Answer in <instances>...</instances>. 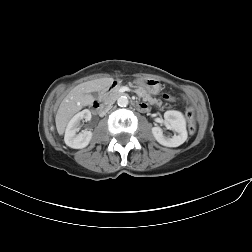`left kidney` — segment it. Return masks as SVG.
<instances>
[{"label":"left kidney","instance_id":"5707ae66","mask_svg":"<svg viewBox=\"0 0 252 252\" xmlns=\"http://www.w3.org/2000/svg\"><path fill=\"white\" fill-rule=\"evenodd\" d=\"M164 119L167 128L176 132L177 135L172 137L165 136L160 127H153L152 134L157 142L167 147H178L183 144L187 139L186 121L183 114L174 110L166 111Z\"/></svg>","mask_w":252,"mask_h":252}]
</instances>
